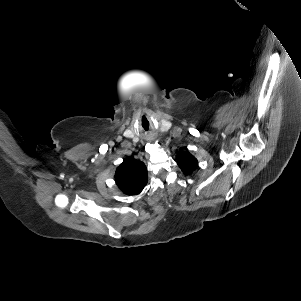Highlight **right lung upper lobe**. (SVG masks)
Masks as SVG:
<instances>
[{"label":"right lung upper lobe","mask_w":301,"mask_h":301,"mask_svg":"<svg viewBox=\"0 0 301 301\" xmlns=\"http://www.w3.org/2000/svg\"><path fill=\"white\" fill-rule=\"evenodd\" d=\"M147 180L145 164L133 159H124L115 173L116 184L127 195L139 194L146 186Z\"/></svg>","instance_id":"cb5924a9"}]
</instances>
